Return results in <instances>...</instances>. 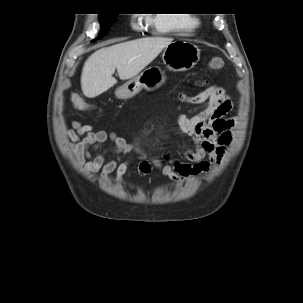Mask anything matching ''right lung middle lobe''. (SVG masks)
I'll list each match as a JSON object with an SVG mask.
<instances>
[{
  "label": "right lung middle lobe",
  "mask_w": 303,
  "mask_h": 303,
  "mask_svg": "<svg viewBox=\"0 0 303 303\" xmlns=\"http://www.w3.org/2000/svg\"><path fill=\"white\" fill-rule=\"evenodd\" d=\"M117 15L118 14H99V20L100 24L102 25V31L100 32L99 36L93 41H96L108 32L111 25L116 21Z\"/></svg>",
  "instance_id": "1"
}]
</instances>
